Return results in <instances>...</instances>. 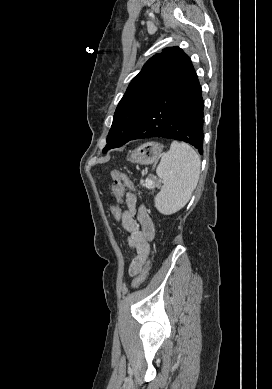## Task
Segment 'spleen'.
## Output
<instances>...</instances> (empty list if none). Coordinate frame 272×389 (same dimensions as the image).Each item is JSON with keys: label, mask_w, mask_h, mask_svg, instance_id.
Here are the masks:
<instances>
[{"label": "spleen", "mask_w": 272, "mask_h": 389, "mask_svg": "<svg viewBox=\"0 0 272 389\" xmlns=\"http://www.w3.org/2000/svg\"><path fill=\"white\" fill-rule=\"evenodd\" d=\"M156 173L163 186L155 197V207L162 214H173L186 205L198 183L200 158L188 144L172 142Z\"/></svg>", "instance_id": "obj_1"}]
</instances>
